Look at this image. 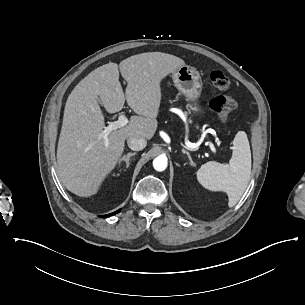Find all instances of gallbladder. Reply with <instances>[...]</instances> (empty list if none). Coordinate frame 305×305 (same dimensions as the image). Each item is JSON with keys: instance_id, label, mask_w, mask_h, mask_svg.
<instances>
[{"instance_id": "gallbladder-1", "label": "gallbladder", "mask_w": 305, "mask_h": 305, "mask_svg": "<svg viewBox=\"0 0 305 305\" xmlns=\"http://www.w3.org/2000/svg\"><path fill=\"white\" fill-rule=\"evenodd\" d=\"M98 101H99V103H101V100H100V99H98Z\"/></svg>"}]
</instances>
